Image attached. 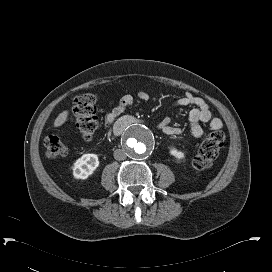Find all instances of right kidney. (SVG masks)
<instances>
[{"label":"right kidney","instance_id":"right-kidney-1","mask_svg":"<svg viewBox=\"0 0 272 272\" xmlns=\"http://www.w3.org/2000/svg\"><path fill=\"white\" fill-rule=\"evenodd\" d=\"M99 166L96 154H84L72 166L73 176L76 179H87Z\"/></svg>","mask_w":272,"mask_h":272}]
</instances>
